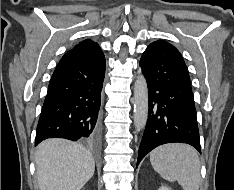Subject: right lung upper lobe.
<instances>
[{"label": "right lung upper lobe", "instance_id": "cb5924a9", "mask_svg": "<svg viewBox=\"0 0 234 190\" xmlns=\"http://www.w3.org/2000/svg\"><path fill=\"white\" fill-rule=\"evenodd\" d=\"M93 46L98 47V44L96 42H93V41L87 39V40H84V41L80 42L79 44L75 45L71 50L85 48V47H93Z\"/></svg>", "mask_w": 234, "mask_h": 190}]
</instances>
